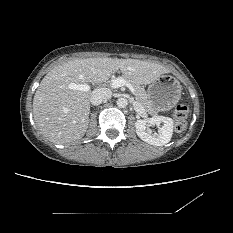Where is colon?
I'll return each instance as SVG.
<instances>
[{
	"instance_id": "colon-1",
	"label": "colon",
	"mask_w": 233,
	"mask_h": 233,
	"mask_svg": "<svg viewBox=\"0 0 233 233\" xmlns=\"http://www.w3.org/2000/svg\"><path fill=\"white\" fill-rule=\"evenodd\" d=\"M188 112H189V108L184 104H179L175 107L174 123H175V129L178 132H181L186 128Z\"/></svg>"
}]
</instances>
